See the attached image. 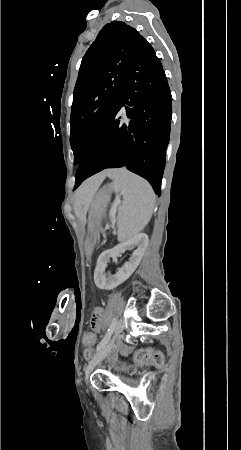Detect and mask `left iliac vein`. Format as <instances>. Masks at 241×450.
<instances>
[{
	"mask_svg": "<svg viewBox=\"0 0 241 450\" xmlns=\"http://www.w3.org/2000/svg\"><path fill=\"white\" fill-rule=\"evenodd\" d=\"M125 327L123 319H120L115 328L114 336L109 340V342L97 352L92 361L85 368V378L88 380L90 373L101 363L103 359L109 354L111 349H113L122 339V331Z\"/></svg>",
	"mask_w": 241,
	"mask_h": 450,
	"instance_id": "4c4485c4",
	"label": "left iliac vein"
}]
</instances>
